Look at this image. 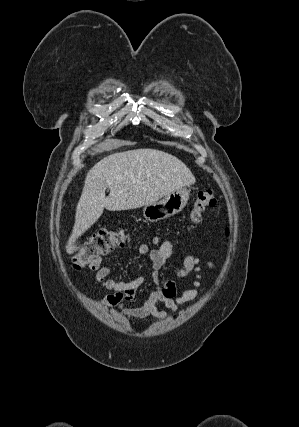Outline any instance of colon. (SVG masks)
I'll return each mask as SVG.
<instances>
[{"label": "colon", "instance_id": "obj_1", "mask_svg": "<svg viewBox=\"0 0 299 427\" xmlns=\"http://www.w3.org/2000/svg\"><path fill=\"white\" fill-rule=\"evenodd\" d=\"M218 205L214 193L209 190H201L196 194L189 215L191 225L201 223L203 214L214 209ZM127 241V234L122 229L101 228L93 233L90 238L72 256L71 266L74 270H80L97 263L101 257L109 254Z\"/></svg>", "mask_w": 299, "mask_h": 427}]
</instances>
